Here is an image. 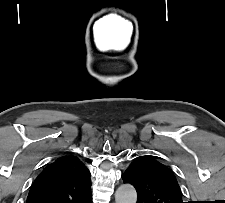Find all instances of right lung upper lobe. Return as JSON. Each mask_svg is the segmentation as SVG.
I'll return each mask as SVG.
<instances>
[{
  "label": "right lung upper lobe",
  "instance_id": "cb5924a9",
  "mask_svg": "<svg viewBox=\"0 0 225 203\" xmlns=\"http://www.w3.org/2000/svg\"><path fill=\"white\" fill-rule=\"evenodd\" d=\"M90 172L75 156L49 164L35 179L26 203H89Z\"/></svg>",
  "mask_w": 225,
  "mask_h": 203
}]
</instances>
